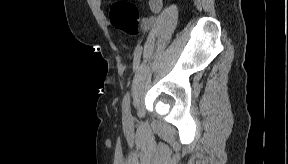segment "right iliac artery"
I'll use <instances>...</instances> for the list:
<instances>
[{
  "mask_svg": "<svg viewBox=\"0 0 288 164\" xmlns=\"http://www.w3.org/2000/svg\"><path fill=\"white\" fill-rule=\"evenodd\" d=\"M142 54V46H138L135 50L134 60H133V70H137L140 58ZM122 111H123V119L128 121L130 119V98L129 93L124 96L123 103H122Z\"/></svg>",
  "mask_w": 288,
  "mask_h": 164,
  "instance_id": "obj_1",
  "label": "right iliac artery"
}]
</instances>
